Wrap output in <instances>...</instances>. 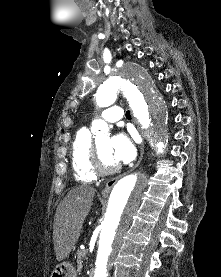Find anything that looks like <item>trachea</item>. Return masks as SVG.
<instances>
[{
  "instance_id": "1",
  "label": "trachea",
  "mask_w": 221,
  "mask_h": 277,
  "mask_svg": "<svg viewBox=\"0 0 221 277\" xmlns=\"http://www.w3.org/2000/svg\"><path fill=\"white\" fill-rule=\"evenodd\" d=\"M126 117H127L128 119H130V118H131V114H130V112H129V111H127V112H126Z\"/></svg>"
}]
</instances>
